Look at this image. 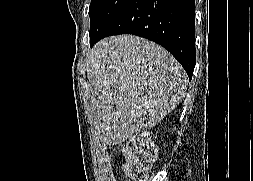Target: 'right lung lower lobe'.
I'll return each instance as SVG.
<instances>
[{"instance_id":"obj_1","label":"right lung lower lobe","mask_w":253,"mask_h":181,"mask_svg":"<svg viewBox=\"0 0 253 181\" xmlns=\"http://www.w3.org/2000/svg\"><path fill=\"white\" fill-rule=\"evenodd\" d=\"M117 34L137 35L163 46L191 79L196 63L195 0H131L101 33L90 35V45Z\"/></svg>"}]
</instances>
